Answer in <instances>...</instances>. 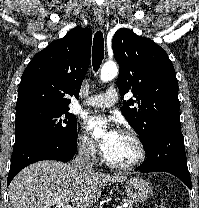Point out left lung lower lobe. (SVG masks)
<instances>
[{"mask_svg":"<svg viewBox=\"0 0 199 208\" xmlns=\"http://www.w3.org/2000/svg\"><path fill=\"white\" fill-rule=\"evenodd\" d=\"M144 150L147 159L136 171L169 172L183 181L189 189L192 188L181 126L168 127L157 132Z\"/></svg>","mask_w":199,"mask_h":208,"instance_id":"1","label":"left lung lower lobe"}]
</instances>
